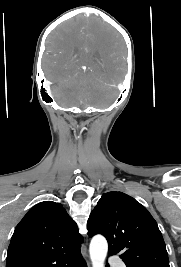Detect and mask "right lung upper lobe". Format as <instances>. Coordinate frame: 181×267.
<instances>
[{
  "label": "right lung upper lobe",
  "instance_id": "obj_1",
  "mask_svg": "<svg viewBox=\"0 0 181 267\" xmlns=\"http://www.w3.org/2000/svg\"><path fill=\"white\" fill-rule=\"evenodd\" d=\"M83 237L60 203L35 205L17 225L6 267H53L80 252Z\"/></svg>",
  "mask_w": 181,
  "mask_h": 267
}]
</instances>
